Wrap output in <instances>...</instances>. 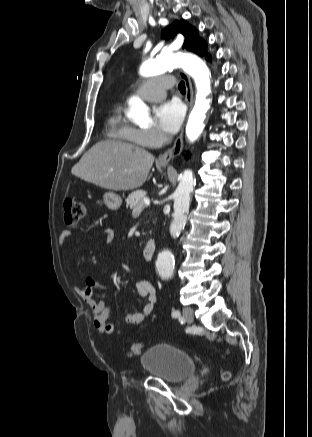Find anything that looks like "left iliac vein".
I'll return each instance as SVG.
<instances>
[{
    "label": "left iliac vein",
    "mask_w": 312,
    "mask_h": 437,
    "mask_svg": "<svg viewBox=\"0 0 312 437\" xmlns=\"http://www.w3.org/2000/svg\"><path fill=\"white\" fill-rule=\"evenodd\" d=\"M183 317L188 323L192 324L194 322V310L191 307H184Z\"/></svg>",
    "instance_id": "4c4485c4"
}]
</instances>
